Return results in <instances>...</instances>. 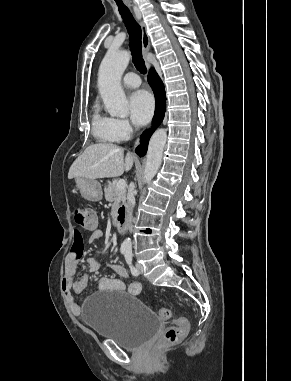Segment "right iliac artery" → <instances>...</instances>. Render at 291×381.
Returning <instances> with one entry per match:
<instances>
[{
  "mask_svg": "<svg viewBox=\"0 0 291 381\" xmlns=\"http://www.w3.org/2000/svg\"><path fill=\"white\" fill-rule=\"evenodd\" d=\"M121 252H122V253H124V252H125V250H122Z\"/></svg>",
  "mask_w": 291,
  "mask_h": 381,
  "instance_id": "82829eb1",
  "label": "right iliac artery"
}]
</instances>
